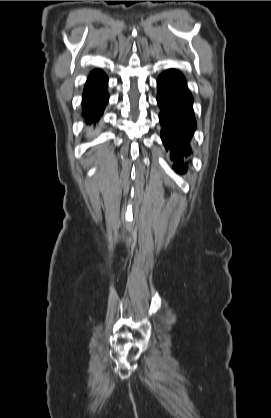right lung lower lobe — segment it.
I'll return each instance as SVG.
<instances>
[{
    "instance_id": "1",
    "label": "right lung lower lobe",
    "mask_w": 271,
    "mask_h": 418,
    "mask_svg": "<svg viewBox=\"0 0 271 418\" xmlns=\"http://www.w3.org/2000/svg\"><path fill=\"white\" fill-rule=\"evenodd\" d=\"M108 78L102 70L90 73L83 91L82 111L87 123L96 122L108 102Z\"/></svg>"
}]
</instances>
